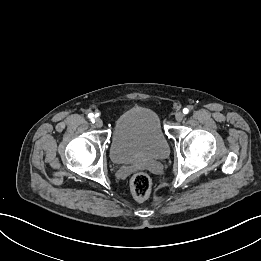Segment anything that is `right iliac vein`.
I'll return each mask as SVG.
<instances>
[{
  "instance_id": "63e3f726",
  "label": "right iliac vein",
  "mask_w": 261,
  "mask_h": 261,
  "mask_svg": "<svg viewBox=\"0 0 261 261\" xmlns=\"http://www.w3.org/2000/svg\"><path fill=\"white\" fill-rule=\"evenodd\" d=\"M95 126H96L97 128H101V127L103 126V121H102L101 119H97V120L95 121Z\"/></svg>"
}]
</instances>
